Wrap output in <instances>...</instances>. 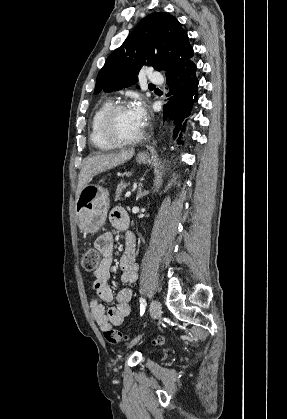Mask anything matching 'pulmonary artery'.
Instances as JSON below:
<instances>
[{
  "label": "pulmonary artery",
  "mask_w": 287,
  "mask_h": 419,
  "mask_svg": "<svg viewBox=\"0 0 287 419\" xmlns=\"http://www.w3.org/2000/svg\"><path fill=\"white\" fill-rule=\"evenodd\" d=\"M147 81L151 84H162L163 83V76L162 74L156 71H149L147 73Z\"/></svg>",
  "instance_id": "obj_1"
}]
</instances>
